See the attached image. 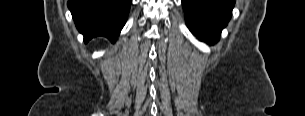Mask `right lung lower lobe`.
I'll return each instance as SVG.
<instances>
[{
	"instance_id": "right-lung-lower-lobe-1",
	"label": "right lung lower lobe",
	"mask_w": 305,
	"mask_h": 116,
	"mask_svg": "<svg viewBox=\"0 0 305 116\" xmlns=\"http://www.w3.org/2000/svg\"><path fill=\"white\" fill-rule=\"evenodd\" d=\"M67 5L85 42L96 36L115 41L126 23L131 0H69Z\"/></svg>"
}]
</instances>
